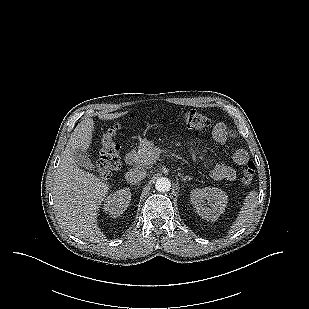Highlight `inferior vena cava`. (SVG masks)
<instances>
[{
	"mask_svg": "<svg viewBox=\"0 0 309 309\" xmlns=\"http://www.w3.org/2000/svg\"><path fill=\"white\" fill-rule=\"evenodd\" d=\"M147 175L146 169L142 166H136L133 169H130L125 174V179L131 184L139 183Z\"/></svg>",
	"mask_w": 309,
	"mask_h": 309,
	"instance_id": "obj_1",
	"label": "inferior vena cava"
}]
</instances>
